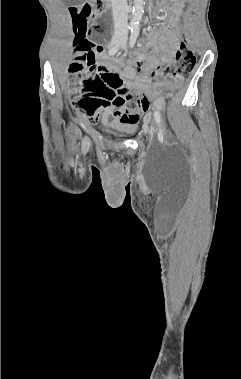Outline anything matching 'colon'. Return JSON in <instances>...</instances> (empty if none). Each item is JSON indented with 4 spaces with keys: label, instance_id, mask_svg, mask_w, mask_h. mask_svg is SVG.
<instances>
[{
    "label": "colon",
    "instance_id": "5ec220e1",
    "mask_svg": "<svg viewBox=\"0 0 241 379\" xmlns=\"http://www.w3.org/2000/svg\"><path fill=\"white\" fill-rule=\"evenodd\" d=\"M101 3L102 0H94V6L86 3L69 8L74 27L80 36L74 42L75 54L69 67V92L92 122L98 120L100 111L109 107L118 95H127L129 90L117 73L97 64V55L102 52V47L85 38L89 31V21L98 14ZM194 66L195 55L184 40L174 53V61L163 69V74L180 80ZM175 93L176 88L171 84L151 89L152 96L163 94L168 99H173Z\"/></svg>",
    "mask_w": 241,
    "mask_h": 379
}]
</instances>
